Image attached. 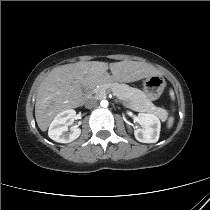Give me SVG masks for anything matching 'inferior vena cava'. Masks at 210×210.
I'll return each mask as SVG.
<instances>
[{"label":"inferior vena cava","mask_w":210,"mask_h":210,"mask_svg":"<svg viewBox=\"0 0 210 210\" xmlns=\"http://www.w3.org/2000/svg\"><path fill=\"white\" fill-rule=\"evenodd\" d=\"M97 104L98 102L96 99H89L85 102V107L90 109V108L96 107Z\"/></svg>","instance_id":"inferior-vena-cava-1"}]
</instances>
